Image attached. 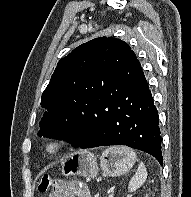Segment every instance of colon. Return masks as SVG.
Masks as SVG:
<instances>
[{
    "instance_id": "obj_1",
    "label": "colon",
    "mask_w": 191,
    "mask_h": 197,
    "mask_svg": "<svg viewBox=\"0 0 191 197\" xmlns=\"http://www.w3.org/2000/svg\"><path fill=\"white\" fill-rule=\"evenodd\" d=\"M54 184H55V179L51 176L45 175L40 180V183L38 185V190L41 193H46L51 188L54 187Z\"/></svg>"
}]
</instances>
